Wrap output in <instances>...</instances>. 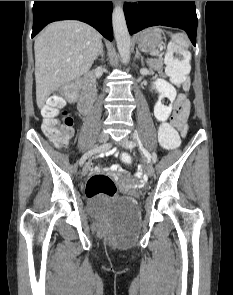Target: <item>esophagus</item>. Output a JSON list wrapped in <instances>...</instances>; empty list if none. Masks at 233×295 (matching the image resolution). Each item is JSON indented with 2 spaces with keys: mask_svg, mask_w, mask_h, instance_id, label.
Returning a JSON list of instances; mask_svg holds the SVG:
<instances>
[{
  "mask_svg": "<svg viewBox=\"0 0 233 295\" xmlns=\"http://www.w3.org/2000/svg\"><path fill=\"white\" fill-rule=\"evenodd\" d=\"M119 2H120V1H113V3H114L115 5H117Z\"/></svg>",
  "mask_w": 233,
  "mask_h": 295,
  "instance_id": "obj_1",
  "label": "esophagus"
}]
</instances>
